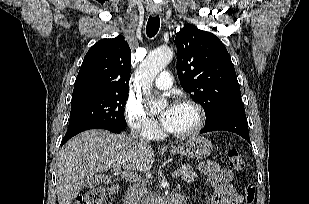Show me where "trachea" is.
I'll use <instances>...</instances> for the list:
<instances>
[{"label":"trachea","instance_id":"3493384b","mask_svg":"<svg viewBox=\"0 0 309 204\" xmlns=\"http://www.w3.org/2000/svg\"><path fill=\"white\" fill-rule=\"evenodd\" d=\"M160 27V18L158 16H150L147 22V36L152 38L154 37Z\"/></svg>","mask_w":309,"mask_h":204}]
</instances>
